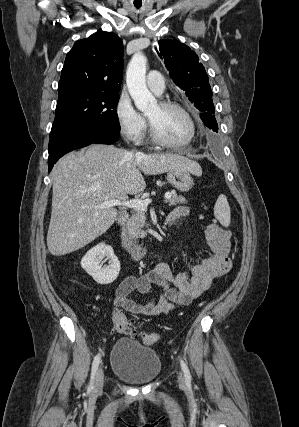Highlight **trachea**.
Wrapping results in <instances>:
<instances>
[{"label":"trachea","mask_w":299,"mask_h":427,"mask_svg":"<svg viewBox=\"0 0 299 427\" xmlns=\"http://www.w3.org/2000/svg\"><path fill=\"white\" fill-rule=\"evenodd\" d=\"M135 7H136L137 9H139V8L141 7V4H135Z\"/></svg>","instance_id":"obj_1"}]
</instances>
